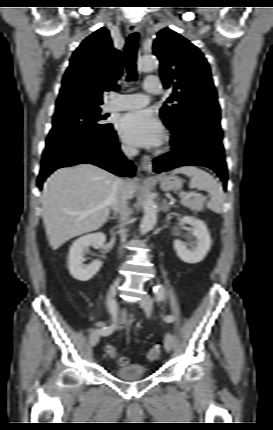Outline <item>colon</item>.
<instances>
[{"mask_svg":"<svg viewBox=\"0 0 273 430\" xmlns=\"http://www.w3.org/2000/svg\"><path fill=\"white\" fill-rule=\"evenodd\" d=\"M160 347L159 346H154L152 348H150L148 350V352L146 353V357L149 360H156L159 356H160ZM106 353L115 359L116 363L119 366H124L128 363V359L124 356H118L116 353V349L114 346L112 345H107L106 346Z\"/></svg>","mask_w":273,"mask_h":430,"instance_id":"1","label":"colon"}]
</instances>
